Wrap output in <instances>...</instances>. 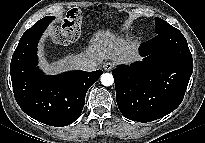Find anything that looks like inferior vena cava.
<instances>
[{
    "instance_id": "602c4592",
    "label": "inferior vena cava",
    "mask_w": 205,
    "mask_h": 143,
    "mask_svg": "<svg viewBox=\"0 0 205 143\" xmlns=\"http://www.w3.org/2000/svg\"><path fill=\"white\" fill-rule=\"evenodd\" d=\"M79 63H80L81 69L84 71H95L97 69V63L88 58H85V57L80 58Z\"/></svg>"
}]
</instances>
